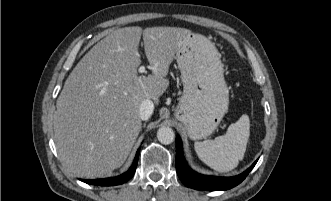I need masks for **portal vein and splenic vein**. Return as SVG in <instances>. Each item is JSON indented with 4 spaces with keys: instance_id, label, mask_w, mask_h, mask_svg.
Instances as JSON below:
<instances>
[{
    "instance_id": "1",
    "label": "portal vein and splenic vein",
    "mask_w": 331,
    "mask_h": 201,
    "mask_svg": "<svg viewBox=\"0 0 331 201\" xmlns=\"http://www.w3.org/2000/svg\"><path fill=\"white\" fill-rule=\"evenodd\" d=\"M139 73H144L145 72V67L144 66H141L139 69H138Z\"/></svg>"
}]
</instances>
